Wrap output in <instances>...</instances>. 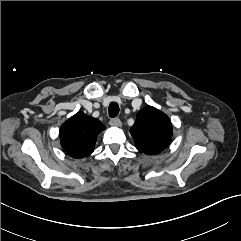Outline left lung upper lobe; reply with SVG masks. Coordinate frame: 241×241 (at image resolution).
<instances>
[{"label":"left lung upper lobe","mask_w":241,"mask_h":241,"mask_svg":"<svg viewBox=\"0 0 241 241\" xmlns=\"http://www.w3.org/2000/svg\"><path fill=\"white\" fill-rule=\"evenodd\" d=\"M130 133L139 151L155 155L170 143L172 125L166 114L155 107L147 106L138 112Z\"/></svg>","instance_id":"left-lung-upper-lobe-1"}]
</instances>
